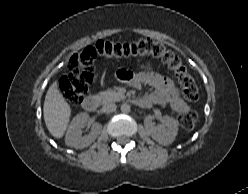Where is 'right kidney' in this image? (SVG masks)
<instances>
[{"label": "right kidney", "mask_w": 248, "mask_h": 194, "mask_svg": "<svg viewBox=\"0 0 248 194\" xmlns=\"http://www.w3.org/2000/svg\"><path fill=\"white\" fill-rule=\"evenodd\" d=\"M89 121V115L87 113H80L72 120L66 133L65 143L69 147L76 149H83L88 147L96 138L100 135L102 125L95 123L89 135L82 137V129Z\"/></svg>", "instance_id": "ca27d5eb"}]
</instances>
